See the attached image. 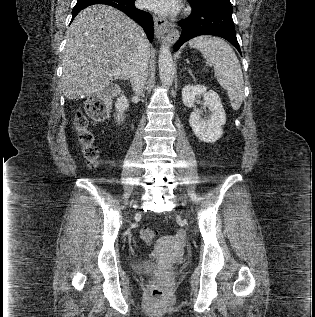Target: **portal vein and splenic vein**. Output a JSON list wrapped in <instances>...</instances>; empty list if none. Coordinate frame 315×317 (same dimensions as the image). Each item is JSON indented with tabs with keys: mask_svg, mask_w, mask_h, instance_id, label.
Returning <instances> with one entry per match:
<instances>
[{
	"mask_svg": "<svg viewBox=\"0 0 315 317\" xmlns=\"http://www.w3.org/2000/svg\"><path fill=\"white\" fill-rule=\"evenodd\" d=\"M113 71H114V73L117 74V75H120V73H121L120 70L117 69V68H114Z\"/></svg>",
	"mask_w": 315,
	"mask_h": 317,
	"instance_id": "portal-vein-and-splenic-vein-1",
	"label": "portal vein and splenic vein"
}]
</instances>
